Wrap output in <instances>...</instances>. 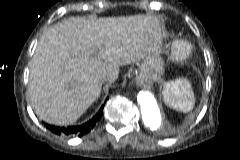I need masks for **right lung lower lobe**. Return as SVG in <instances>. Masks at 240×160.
Returning a JSON list of instances; mask_svg holds the SVG:
<instances>
[{"label":"right lung lower lobe","instance_id":"right-lung-lower-lobe-1","mask_svg":"<svg viewBox=\"0 0 240 160\" xmlns=\"http://www.w3.org/2000/svg\"><path fill=\"white\" fill-rule=\"evenodd\" d=\"M103 106L100 108V110L96 113V115L90 119L88 122L84 123L83 125L79 126H69V127H58L54 125L46 124V128H48L50 131L57 135H79L82 136L86 133H88L91 129L94 128L96 123L98 122L100 115L102 113Z\"/></svg>","mask_w":240,"mask_h":160}]
</instances>
